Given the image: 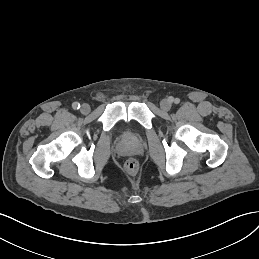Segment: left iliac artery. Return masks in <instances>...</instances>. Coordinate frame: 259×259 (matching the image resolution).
<instances>
[{
  "label": "left iliac artery",
  "instance_id": "obj_1",
  "mask_svg": "<svg viewBox=\"0 0 259 259\" xmlns=\"http://www.w3.org/2000/svg\"><path fill=\"white\" fill-rule=\"evenodd\" d=\"M180 102V100L178 99V98H176L175 100H174V103L175 104H178Z\"/></svg>",
  "mask_w": 259,
  "mask_h": 259
}]
</instances>
